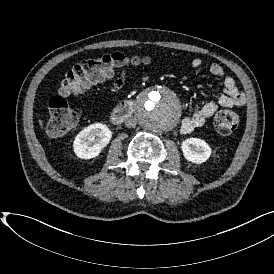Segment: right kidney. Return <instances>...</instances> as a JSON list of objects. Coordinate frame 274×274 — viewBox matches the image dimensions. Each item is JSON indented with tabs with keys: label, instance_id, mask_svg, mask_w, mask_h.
<instances>
[{
	"label": "right kidney",
	"instance_id": "1",
	"mask_svg": "<svg viewBox=\"0 0 274 274\" xmlns=\"http://www.w3.org/2000/svg\"><path fill=\"white\" fill-rule=\"evenodd\" d=\"M112 138V131L106 124L93 123L81 130L73 142L77 157L91 159L100 154Z\"/></svg>",
	"mask_w": 274,
	"mask_h": 274
}]
</instances>
